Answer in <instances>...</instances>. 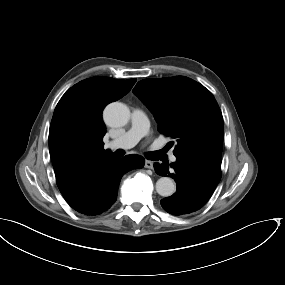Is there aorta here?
I'll use <instances>...</instances> for the list:
<instances>
[{
	"label": "aorta",
	"instance_id": "1",
	"mask_svg": "<svg viewBox=\"0 0 285 285\" xmlns=\"http://www.w3.org/2000/svg\"><path fill=\"white\" fill-rule=\"evenodd\" d=\"M130 111L126 105L120 102L109 104L104 110L105 122L112 127H120L127 124ZM176 190L174 181L169 177H161L156 182V191L163 197L171 196Z\"/></svg>",
	"mask_w": 285,
	"mask_h": 285
}]
</instances>
